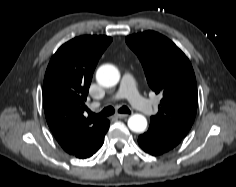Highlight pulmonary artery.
Wrapping results in <instances>:
<instances>
[{
    "label": "pulmonary artery",
    "mask_w": 236,
    "mask_h": 187,
    "mask_svg": "<svg viewBox=\"0 0 236 187\" xmlns=\"http://www.w3.org/2000/svg\"><path fill=\"white\" fill-rule=\"evenodd\" d=\"M121 98H126L134 108L146 115L155 113V107L139 94L134 76L130 72H126L123 75L120 88L110 101Z\"/></svg>",
    "instance_id": "pulmonary-artery-1"
}]
</instances>
